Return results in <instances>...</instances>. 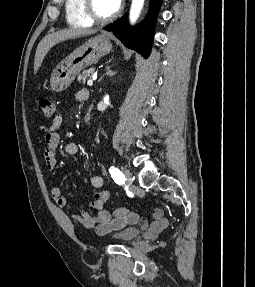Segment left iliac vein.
I'll return each mask as SVG.
<instances>
[{
	"instance_id": "1",
	"label": "left iliac vein",
	"mask_w": 255,
	"mask_h": 287,
	"mask_svg": "<svg viewBox=\"0 0 255 287\" xmlns=\"http://www.w3.org/2000/svg\"><path fill=\"white\" fill-rule=\"evenodd\" d=\"M124 175H125L126 183L131 186L132 183H133V176H132L131 171L128 170V169H126V170L124 171Z\"/></svg>"
}]
</instances>
